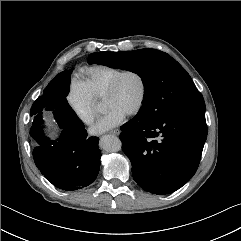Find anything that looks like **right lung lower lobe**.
Returning <instances> with one entry per match:
<instances>
[{"label": "right lung lower lobe", "instance_id": "98d812e1", "mask_svg": "<svg viewBox=\"0 0 241 241\" xmlns=\"http://www.w3.org/2000/svg\"><path fill=\"white\" fill-rule=\"evenodd\" d=\"M57 140L45 135L33 150L41 173L57 188L66 191L90 185L100 169L98 137H87L84 127H65Z\"/></svg>", "mask_w": 241, "mask_h": 241}]
</instances>
